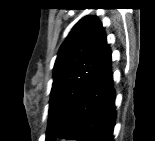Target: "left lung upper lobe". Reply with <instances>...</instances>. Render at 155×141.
<instances>
[{"label": "left lung upper lobe", "mask_w": 155, "mask_h": 141, "mask_svg": "<svg viewBox=\"0 0 155 141\" xmlns=\"http://www.w3.org/2000/svg\"><path fill=\"white\" fill-rule=\"evenodd\" d=\"M108 47L102 23L86 16L75 24L61 45L54 65L47 139L55 140L64 120L91 80Z\"/></svg>", "instance_id": "1"}]
</instances>
